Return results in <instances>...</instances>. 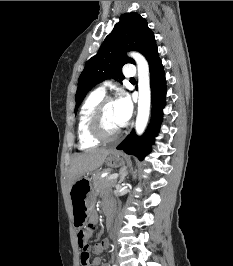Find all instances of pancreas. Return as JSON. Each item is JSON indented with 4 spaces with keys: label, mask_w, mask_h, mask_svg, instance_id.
<instances>
[{
    "label": "pancreas",
    "mask_w": 233,
    "mask_h": 266,
    "mask_svg": "<svg viewBox=\"0 0 233 266\" xmlns=\"http://www.w3.org/2000/svg\"><path fill=\"white\" fill-rule=\"evenodd\" d=\"M109 176L105 177V178H101L100 173H97L93 176L92 178V185L94 190L97 193L102 192L104 189L106 188H110V187H114L116 184V180H109L108 179Z\"/></svg>",
    "instance_id": "obj_1"
}]
</instances>
